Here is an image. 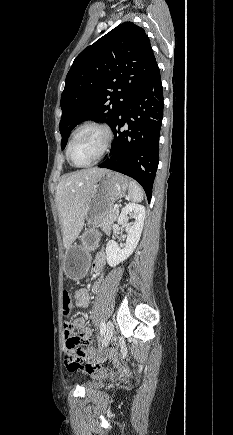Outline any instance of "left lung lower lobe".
Here are the masks:
<instances>
[{"mask_svg": "<svg viewBox=\"0 0 233 435\" xmlns=\"http://www.w3.org/2000/svg\"><path fill=\"white\" fill-rule=\"evenodd\" d=\"M163 93L159 67L124 107L111 127L114 143L106 161L98 165L138 181L151 200L158 166ZM126 130H122L124 125Z\"/></svg>", "mask_w": 233, "mask_h": 435, "instance_id": "obj_1", "label": "left lung lower lobe"}]
</instances>
